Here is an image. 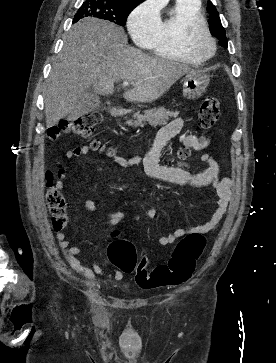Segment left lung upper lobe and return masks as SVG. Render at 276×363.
<instances>
[{
  "mask_svg": "<svg viewBox=\"0 0 276 363\" xmlns=\"http://www.w3.org/2000/svg\"><path fill=\"white\" fill-rule=\"evenodd\" d=\"M207 10L211 14V17L208 20L211 34L218 38L220 45L226 47L227 39L225 36V30L221 24L219 14L211 1H208Z\"/></svg>",
  "mask_w": 276,
  "mask_h": 363,
  "instance_id": "1",
  "label": "left lung upper lobe"
}]
</instances>
